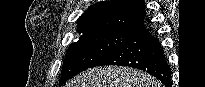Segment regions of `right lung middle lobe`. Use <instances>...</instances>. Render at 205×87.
<instances>
[{
	"label": "right lung middle lobe",
	"instance_id": "1",
	"mask_svg": "<svg viewBox=\"0 0 205 87\" xmlns=\"http://www.w3.org/2000/svg\"><path fill=\"white\" fill-rule=\"evenodd\" d=\"M132 34L123 31L102 30L84 33L71 43L62 66L59 86L125 42Z\"/></svg>",
	"mask_w": 205,
	"mask_h": 87
}]
</instances>
